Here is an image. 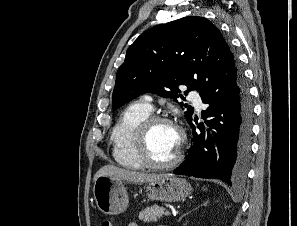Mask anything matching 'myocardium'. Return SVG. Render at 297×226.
<instances>
[{"label":"myocardium","mask_w":297,"mask_h":226,"mask_svg":"<svg viewBox=\"0 0 297 226\" xmlns=\"http://www.w3.org/2000/svg\"><path fill=\"white\" fill-rule=\"evenodd\" d=\"M158 123H166L172 125L179 133L178 148L174 156L165 162H157L152 159L148 150V136L152 127ZM185 132L178 126L172 119L162 116L151 114L145 118L137 127L134 136V150L137 157L141 162L148 168L151 169H168L177 165L183 156L184 145H185Z\"/></svg>","instance_id":"myocardium-1"}]
</instances>
